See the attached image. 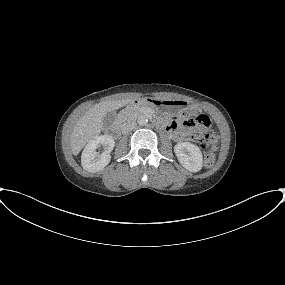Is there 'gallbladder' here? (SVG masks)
<instances>
[{"label": "gallbladder", "mask_w": 285, "mask_h": 285, "mask_svg": "<svg viewBox=\"0 0 285 285\" xmlns=\"http://www.w3.org/2000/svg\"><path fill=\"white\" fill-rule=\"evenodd\" d=\"M116 119V113L114 111L107 112L103 118V124L105 126L111 125Z\"/></svg>", "instance_id": "bac80fb5"}]
</instances>
